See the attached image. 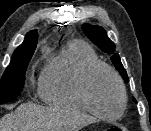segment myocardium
I'll use <instances>...</instances> for the list:
<instances>
[{
    "label": "myocardium",
    "instance_id": "myocardium-1",
    "mask_svg": "<svg viewBox=\"0 0 151 131\" xmlns=\"http://www.w3.org/2000/svg\"><path fill=\"white\" fill-rule=\"evenodd\" d=\"M100 70H104V71L108 72L113 77V79L115 80V82L118 86V89L120 91L121 107H120V110L118 111V113H116L115 115L103 114L95 107V105L93 104V101L91 99L90 92H89L90 80H91L92 76ZM77 91H78V95H79L81 101L83 102V104L85 105L86 109L100 119L117 120L126 111L128 98H127V92H126L124 83H123L121 77L118 75V73L112 67L107 65L106 63L97 61V62L90 64L85 69L84 73L82 74V76L78 82Z\"/></svg>",
    "mask_w": 151,
    "mask_h": 131
}]
</instances>
